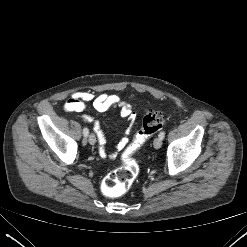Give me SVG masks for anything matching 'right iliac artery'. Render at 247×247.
<instances>
[{
	"mask_svg": "<svg viewBox=\"0 0 247 247\" xmlns=\"http://www.w3.org/2000/svg\"><path fill=\"white\" fill-rule=\"evenodd\" d=\"M88 134H89V130H88V128L85 127V128L83 129V135H84V137H87Z\"/></svg>",
	"mask_w": 247,
	"mask_h": 247,
	"instance_id": "82829eb1",
	"label": "right iliac artery"
}]
</instances>
